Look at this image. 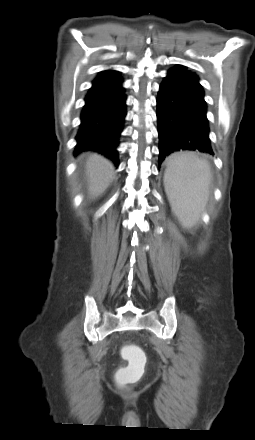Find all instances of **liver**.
Wrapping results in <instances>:
<instances>
[{
    "label": "liver",
    "mask_w": 255,
    "mask_h": 440,
    "mask_svg": "<svg viewBox=\"0 0 255 440\" xmlns=\"http://www.w3.org/2000/svg\"><path fill=\"white\" fill-rule=\"evenodd\" d=\"M114 176L113 164L98 154H91L86 161V177L90 197L99 196L109 186Z\"/></svg>",
    "instance_id": "6515ba94"
}]
</instances>
